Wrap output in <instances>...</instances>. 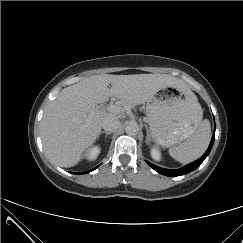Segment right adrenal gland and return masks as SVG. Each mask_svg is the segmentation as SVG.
I'll list each match as a JSON object with an SVG mask.
<instances>
[{
    "label": "right adrenal gland",
    "instance_id": "obj_1",
    "mask_svg": "<svg viewBox=\"0 0 243 243\" xmlns=\"http://www.w3.org/2000/svg\"><path fill=\"white\" fill-rule=\"evenodd\" d=\"M111 133H112V132H104V131H102V132L100 133V135L105 134V137H106V139H107V137H108Z\"/></svg>",
    "mask_w": 243,
    "mask_h": 243
}]
</instances>
